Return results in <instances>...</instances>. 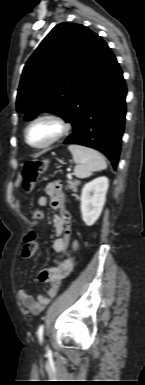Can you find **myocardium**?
<instances>
[{
    "label": "myocardium",
    "mask_w": 145,
    "mask_h": 385,
    "mask_svg": "<svg viewBox=\"0 0 145 385\" xmlns=\"http://www.w3.org/2000/svg\"><path fill=\"white\" fill-rule=\"evenodd\" d=\"M45 120L55 123L58 126L59 131L50 141L46 142L45 144L34 145L29 141V138H28L29 130L36 123H38L40 121H45ZM70 129H71L70 124L60 115H57L54 113H43V114H40V115L36 116L35 118H33L27 124V126L24 130V139H25L26 144L29 147H31L33 149H37V150H42V149H46V148L54 145L55 143L59 142L60 140H62L65 136L68 135V133L70 132Z\"/></svg>",
    "instance_id": "obj_1"
}]
</instances>
